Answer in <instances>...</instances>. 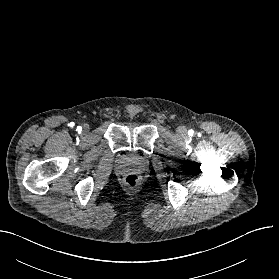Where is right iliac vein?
I'll return each mask as SVG.
<instances>
[{
  "label": "right iliac vein",
  "instance_id": "obj_1",
  "mask_svg": "<svg viewBox=\"0 0 279 279\" xmlns=\"http://www.w3.org/2000/svg\"><path fill=\"white\" fill-rule=\"evenodd\" d=\"M88 130H89V126H88V125H84L83 131H84V132H87Z\"/></svg>",
  "mask_w": 279,
  "mask_h": 279
}]
</instances>
